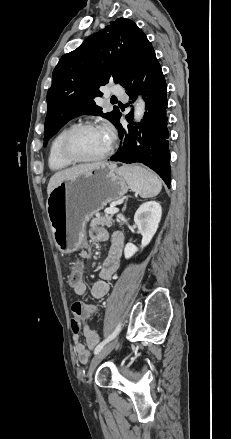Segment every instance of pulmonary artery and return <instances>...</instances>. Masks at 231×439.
<instances>
[{"label": "pulmonary artery", "instance_id": "obj_1", "mask_svg": "<svg viewBox=\"0 0 231 439\" xmlns=\"http://www.w3.org/2000/svg\"><path fill=\"white\" fill-rule=\"evenodd\" d=\"M110 93L111 94L122 95L123 94V90H122V88H120L118 86H113V87L110 88Z\"/></svg>", "mask_w": 231, "mask_h": 439}]
</instances>
